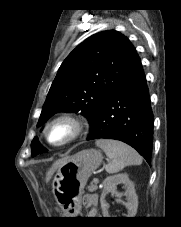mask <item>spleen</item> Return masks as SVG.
<instances>
[{"mask_svg":"<svg viewBox=\"0 0 181 227\" xmlns=\"http://www.w3.org/2000/svg\"><path fill=\"white\" fill-rule=\"evenodd\" d=\"M96 146L111 160L105 167L109 174L117 173L129 165L142 164V157L130 146L111 139H99Z\"/></svg>","mask_w":181,"mask_h":227,"instance_id":"spleen-1","label":"spleen"}]
</instances>
